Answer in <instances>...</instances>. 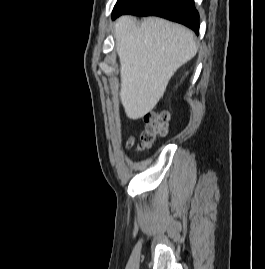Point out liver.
Returning a JSON list of instances; mask_svg holds the SVG:
<instances>
[{
    "label": "liver",
    "mask_w": 265,
    "mask_h": 269,
    "mask_svg": "<svg viewBox=\"0 0 265 269\" xmlns=\"http://www.w3.org/2000/svg\"><path fill=\"white\" fill-rule=\"evenodd\" d=\"M114 34L121 103L128 118L139 119L156 106L177 69L196 55L194 34L165 19L138 23L130 15L116 20Z\"/></svg>",
    "instance_id": "6515ba94"
}]
</instances>
